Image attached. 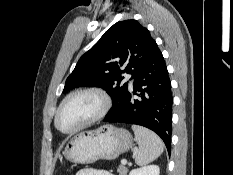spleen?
<instances>
[{"label":"spleen","mask_w":233,"mask_h":175,"mask_svg":"<svg viewBox=\"0 0 233 175\" xmlns=\"http://www.w3.org/2000/svg\"><path fill=\"white\" fill-rule=\"evenodd\" d=\"M132 130L134 131L135 140L139 146L135 154V163L137 165H146L162 154L164 144L157 134L138 125H132Z\"/></svg>","instance_id":"obj_1"}]
</instances>
